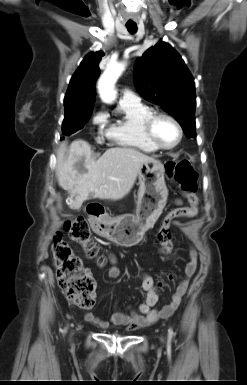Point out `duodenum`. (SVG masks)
<instances>
[{
	"instance_id": "410a0bca",
	"label": "duodenum",
	"mask_w": 247,
	"mask_h": 385,
	"mask_svg": "<svg viewBox=\"0 0 247 385\" xmlns=\"http://www.w3.org/2000/svg\"><path fill=\"white\" fill-rule=\"evenodd\" d=\"M88 213L93 217L92 227L94 229L97 230L107 223V221L103 218L104 209L99 204H92Z\"/></svg>"
}]
</instances>
